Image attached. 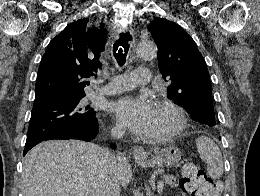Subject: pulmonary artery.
I'll use <instances>...</instances> for the list:
<instances>
[{
	"mask_svg": "<svg viewBox=\"0 0 260 196\" xmlns=\"http://www.w3.org/2000/svg\"><path fill=\"white\" fill-rule=\"evenodd\" d=\"M151 77H153L151 69H133L132 72H126V76H114V79L109 82L110 86L99 89L97 93L103 95L135 90V85L123 84H150Z\"/></svg>",
	"mask_w": 260,
	"mask_h": 196,
	"instance_id": "obj_1",
	"label": "pulmonary artery"
}]
</instances>
